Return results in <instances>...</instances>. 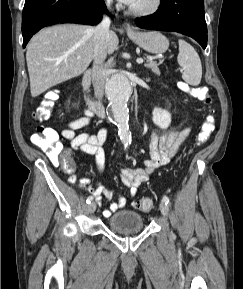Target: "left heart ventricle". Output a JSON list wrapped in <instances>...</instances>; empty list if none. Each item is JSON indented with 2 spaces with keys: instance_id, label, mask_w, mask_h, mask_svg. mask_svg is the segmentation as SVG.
Wrapping results in <instances>:
<instances>
[{
  "instance_id": "b2bd125f",
  "label": "left heart ventricle",
  "mask_w": 243,
  "mask_h": 289,
  "mask_svg": "<svg viewBox=\"0 0 243 289\" xmlns=\"http://www.w3.org/2000/svg\"><path fill=\"white\" fill-rule=\"evenodd\" d=\"M151 0H134V2L131 4L134 8H143L146 7Z\"/></svg>"
}]
</instances>
